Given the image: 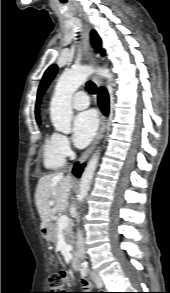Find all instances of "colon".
Returning <instances> with one entry per match:
<instances>
[{"mask_svg":"<svg viewBox=\"0 0 170 293\" xmlns=\"http://www.w3.org/2000/svg\"><path fill=\"white\" fill-rule=\"evenodd\" d=\"M53 265V270L49 278V283L52 289V292L49 293H64L59 292L65 288L69 283L68 274L64 269L58 267L56 259L52 258L51 260Z\"/></svg>","mask_w":170,"mask_h":293,"instance_id":"colon-1","label":"colon"}]
</instances>
